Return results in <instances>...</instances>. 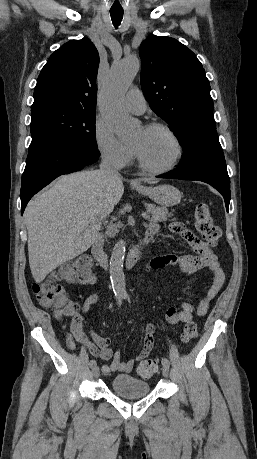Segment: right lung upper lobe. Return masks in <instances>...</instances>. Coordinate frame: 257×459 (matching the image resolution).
<instances>
[{
    "instance_id": "1",
    "label": "right lung upper lobe",
    "mask_w": 257,
    "mask_h": 459,
    "mask_svg": "<svg viewBox=\"0 0 257 459\" xmlns=\"http://www.w3.org/2000/svg\"><path fill=\"white\" fill-rule=\"evenodd\" d=\"M98 65V51L88 38L62 45L41 70L31 112L49 107L95 111Z\"/></svg>"
}]
</instances>
